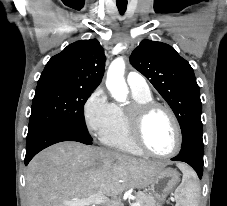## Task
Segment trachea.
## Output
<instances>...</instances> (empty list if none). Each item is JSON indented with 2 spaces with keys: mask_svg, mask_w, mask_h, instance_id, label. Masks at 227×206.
I'll return each mask as SVG.
<instances>
[{
  "mask_svg": "<svg viewBox=\"0 0 227 206\" xmlns=\"http://www.w3.org/2000/svg\"><path fill=\"white\" fill-rule=\"evenodd\" d=\"M117 8L121 15H123L127 8V0H117Z\"/></svg>",
  "mask_w": 227,
  "mask_h": 206,
  "instance_id": "trachea-1",
  "label": "trachea"
}]
</instances>
